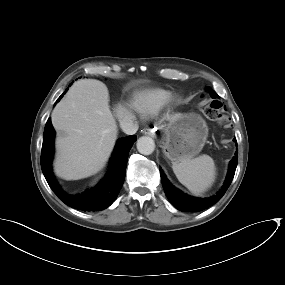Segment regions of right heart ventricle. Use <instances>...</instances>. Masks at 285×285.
I'll use <instances>...</instances> for the list:
<instances>
[{
    "label": "right heart ventricle",
    "mask_w": 285,
    "mask_h": 285,
    "mask_svg": "<svg viewBox=\"0 0 285 285\" xmlns=\"http://www.w3.org/2000/svg\"><path fill=\"white\" fill-rule=\"evenodd\" d=\"M170 93L163 89H147L133 94L130 104L139 112L154 115L169 101Z\"/></svg>",
    "instance_id": "right-heart-ventricle-1"
}]
</instances>
